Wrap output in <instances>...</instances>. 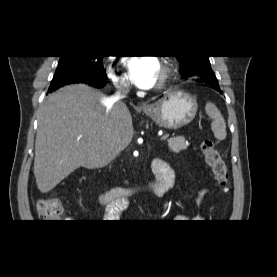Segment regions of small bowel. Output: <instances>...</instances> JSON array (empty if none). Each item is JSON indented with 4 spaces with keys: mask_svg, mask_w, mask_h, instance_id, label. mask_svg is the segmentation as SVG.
I'll return each instance as SVG.
<instances>
[{
    "mask_svg": "<svg viewBox=\"0 0 277 277\" xmlns=\"http://www.w3.org/2000/svg\"><path fill=\"white\" fill-rule=\"evenodd\" d=\"M152 168H153L154 174L156 175V177H158L159 176L158 175V171H159L158 165L153 162ZM171 182H172V172H171ZM170 186H171V183L169 185H167L165 183H161L159 194L160 195L165 194L169 190ZM203 194H204V190H201L200 193H199V196L201 197Z\"/></svg>",
    "mask_w": 277,
    "mask_h": 277,
    "instance_id": "small-bowel-1",
    "label": "small bowel"
}]
</instances>
